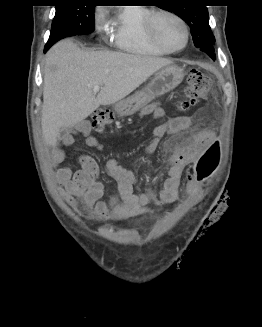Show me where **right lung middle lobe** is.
<instances>
[{"instance_id":"obj_1","label":"right lung middle lobe","mask_w":262,"mask_h":327,"mask_svg":"<svg viewBox=\"0 0 262 327\" xmlns=\"http://www.w3.org/2000/svg\"><path fill=\"white\" fill-rule=\"evenodd\" d=\"M79 1L60 2L52 22L50 37L45 45L47 51L58 40L74 35L90 34L94 31L93 5H79Z\"/></svg>"}]
</instances>
